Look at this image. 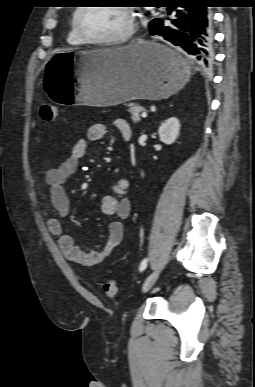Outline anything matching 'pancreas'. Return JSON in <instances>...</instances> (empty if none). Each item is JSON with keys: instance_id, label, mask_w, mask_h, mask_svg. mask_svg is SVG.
Here are the masks:
<instances>
[{"instance_id": "1", "label": "pancreas", "mask_w": 255, "mask_h": 387, "mask_svg": "<svg viewBox=\"0 0 255 387\" xmlns=\"http://www.w3.org/2000/svg\"><path fill=\"white\" fill-rule=\"evenodd\" d=\"M128 107H129V112L132 115L131 119H132L133 123L140 122L139 113L142 111L143 108L140 105L133 104V103L128 104Z\"/></svg>"}]
</instances>
